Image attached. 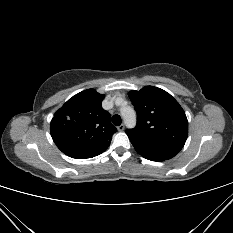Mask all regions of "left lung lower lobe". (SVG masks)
<instances>
[{
    "label": "left lung lower lobe",
    "mask_w": 233,
    "mask_h": 233,
    "mask_svg": "<svg viewBox=\"0 0 233 233\" xmlns=\"http://www.w3.org/2000/svg\"><path fill=\"white\" fill-rule=\"evenodd\" d=\"M142 155V154H141ZM144 158L152 160V161H163L162 159L156 158V157H152V156H148V155H142Z\"/></svg>",
    "instance_id": "left-lung-lower-lobe-1"
}]
</instances>
